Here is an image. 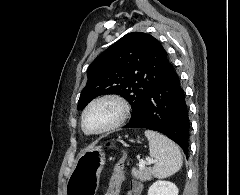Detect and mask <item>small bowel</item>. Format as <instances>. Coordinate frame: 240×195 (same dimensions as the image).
<instances>
[{"label":"small bowel","mask_w":240,"mask_h":195,"mask_svg":"<svg viewBox=\"0 0 240 195\" xmlns=\"http://www.w3.org/2000/svg\"><path fill=\"white\" fill-rule=\"evenodd\" d=\"M143 184L138 180H133L130 184V189L126 195H142Z\"/></svg>","instance_id":"small-bowel-1"}]
</instances>
